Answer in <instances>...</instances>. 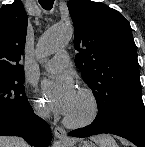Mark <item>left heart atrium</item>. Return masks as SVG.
Masks as SVG:
<instances>
[{
  "instance_id": "left-heart-atrium-1",
  "label": "left heart atrium",
  "mask_w": 145,
  "mask_h": 147,
  "mask_svg": "<svg viewBox=\"0 0 145 147\" xmlns=\"http://www.w3.org/2000/svg\"><path fill=\"white\" fill-rule=\"evenodd\" d=\"M42 92L49 108L57 114L68 115L77 97V91L70 76L58 80L44 81Z\"/></svg>"
}]
</instances>
